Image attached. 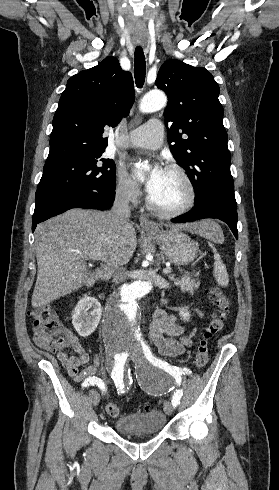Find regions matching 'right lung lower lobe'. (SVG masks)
<instances>
[{
  "instance_id": "right-lung-lower-lobe-1",
  "label": "right lung lower lobe",
  "mask_w": 279,
  "mask_h": 490,
  "mask_svg": "<svg viewBox=\"0 0 279 490\" xmlns=\"http://www.w3.org/2000/svg\"><path fill=\"white\" fill-rule=\"evenodd\" d=\"M114 198V191L68 190L46 192L36 197L32 231L35 230L38 223L71 208L109 209L112 206Z\"/></svg>"
}]
</instances>
